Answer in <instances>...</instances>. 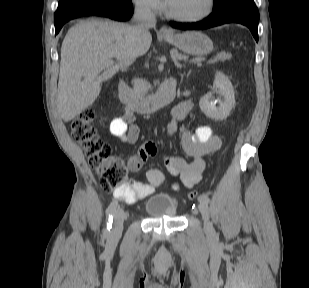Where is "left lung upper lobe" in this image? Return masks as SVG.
I'll use <instances>...</instances> for the list:
<instances>
[{
    "label": "left lung upper lobe",
    "mask_w": 309,
    "mask_h": 288,
    "mask_svg": "<svg viewBox=\"0 0 309 288\" xmlns=\"http://www.w3.org/2000/svg\"><path fill=\"white\" fill-rule=\"evenodd\" d=\"M229 1H231V0H214L213 10L219 9L220 7L224 6Z\"/></svg>",
    "instance_id": "obj_1"
}]
</instances>
